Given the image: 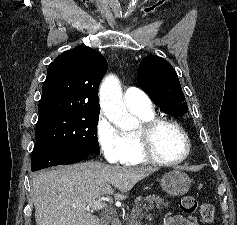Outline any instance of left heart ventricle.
<instances>
[{
  "instance_id": "left-heart-ventricle-1",
  "label": "left heart ventricle",
  "mask_w": 237,
  "mask_h": 225,
  "mask_svg": "<svg viewBox=\"0 0 237 225\" xmlns=\"http://www.w3.org/2000/svg\"><path fill=\"white\" fill-rule=\"evenodd\" d=\"M157 154L164 159L174 160L184 155L186 144L182 135L173 127L162 126L154 137Z\"/></svg>"
}]
</instances>
